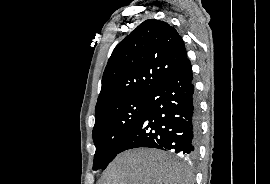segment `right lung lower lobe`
<instances>
[{
    "mask_svg": "<svg viewBox=\"0 0 270 184\" xmlns=\"http://www.w3.org/2000/svg\"><path fill=\"white\" fill-rule=\"evenodd\" d=\"M198 136V106L187 59L147 95L145 112L118 154L132 148L149 147L194 157Z\"/></svg>",
    "mask_w": 270,
    "mask_h": 184,
    "instance_id": "right-lung-lower-lobe-1",
    "label": "right lung lower lobe"
}]
</instances>
